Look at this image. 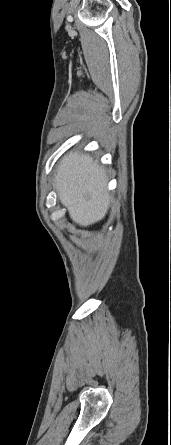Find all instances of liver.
I'll list each match as a JSON object with an SVG mask.
<instances>
[{
  "label": "liver",
  "instance_id": "liver-1",
  "mask_svg": "<svg viewBox=\"0 0 171 445\" xmlns=\"http://www.w3.org/2000/svg\"><path fill=\"white\" fill-rule=\"evenodd\" d=\"M104 169L89 155L70 152L59 163L55 187L71 219L80 226L102 220L109 208Z\"/></svg>",
  "mask_w": 171,
  "mask_h": 445
}]
</instances>
